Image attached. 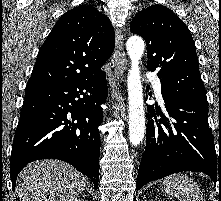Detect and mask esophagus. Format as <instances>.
I'll list each match as a JSON object with an SVG mask.
<instances>
[{
  "instance_id": "1",
  "label": "esophagus",
  "mask_w": 221,
  "mask_h": 201,
  "mask_svg": "<svg viewBox=\"0 0 221 201\" xmlns=\"http://www.w3.org/2000/svg\"><path fill=\"white\" fill-rule=\"evenodd\" d=\"M127 70V58L123 46L122 29H116V45H115V68L114 77L119 83Z\"/></svg>"
}]
</instances>
